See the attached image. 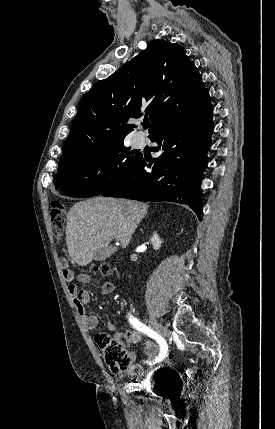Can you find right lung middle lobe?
<instances>
[{
  "label": "right lung middle lobe",
  "mask_w": 275,
  "mask_h": 429,
  "mask_svg": "<svg viewBox=\"0 0 275 429\" xmlns=\"http://www.w3.org/2000/svg\"><path fill=\"white\" fill-rule=\"evenodd\" d=\"M140 158L122 140L66 162L58 168L53 181L68 196H96L127 176Z\"/></svg>",
  "instance_id": "obj_1"
}]
</instances>
